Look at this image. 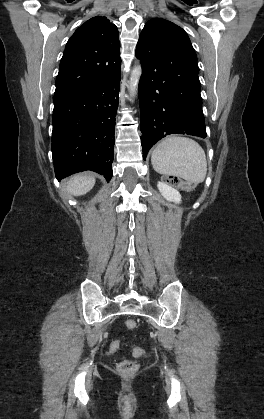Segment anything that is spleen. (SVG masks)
Instances as JSON below:
<instances>
[{
  "instance_id": "1",
  "label": "spleen",
  "mask_w": 264,
  "mask_h": 419,
  "mask_svg": "<svg viewBox=\"0 0 264 419\" xmlns=\"http://www.w3.org/2000/svg\"><path fill=\"white\" fill-rule=\"evenodd\" d=\"M151 163L159 174L177 176L194 184L203 182L207 173L204 150L187 137L169 136L162 140L152 152Z\"/></svg>"
}]
</instances>
